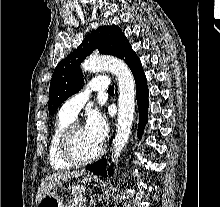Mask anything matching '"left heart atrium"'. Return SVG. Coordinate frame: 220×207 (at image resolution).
<instances>
[{
  "instance_id": "left-heart-atrium-1",
  "label": "left heart atrium",
  "mask_w": 220,
  "mask_h": 207,
  "mask_svg": "<svg viewBox=\"0 0 220 207\" xmlns=\"http://www.w3.org/2000/svg\"><path fill=\"white\" fill-rule=\"evenodd\" d=\"M84 130L99 145L104 141L108 127L104 115L98 110L89 113Z\"/></svg>"
}]
</instances>
